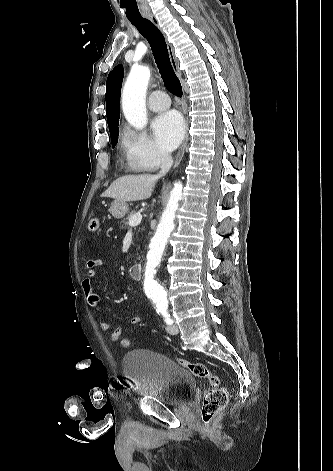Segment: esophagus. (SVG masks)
Instances as JSON below:
<instances>
[{"label":"esophagus","instance_id":"esophagus-1","mask_svg":"<svg viewBox=\"0 0 333 471\" xmlns=\"http://www.w3.org/2000/svg\"><path fill=\"white\" fill-rule=\"evenodd\" d=\"M148 19L158 28L161 30V27L159 25V21L158 19L154 16V15H149L148 16ZM167 49H168V54H169V58H170V62H171V65L175 71V73L177 74L178 77L181 78L182 74H181V71L179 69V63H178V59L175 55V52H174V48L173 46L170 44V43H167ZM187 130H188V125H187ZM187 142H188V133L186 132V136H185V140L182 144V146L180 147L177 155H176V158H175V162H174V166L173 168L175 169L181 162L183 156H184V153H185V149H186V146H187Z\"/></svg>","mask_w":333,"mask_h":471}]
</instances>
